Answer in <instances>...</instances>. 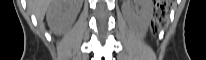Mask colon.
Masks as SVG:
<instances>
[{
    "label": "colon",
    "mask_w": 206,
    "mask_h": 60,
    "mask_svg": "<svg viewBox=\"0 0 206 60\" xmlns=\"http://www.w3.org/2000/svg\"><path fill=\"white\" fill-rule=\"evenodd\" d=\"M169 8V1L159 0L156 2L153 11V27L158 29L165 19L166 12Z\"/></svg>",
    "instance_id": "1"
}]
</instances>
